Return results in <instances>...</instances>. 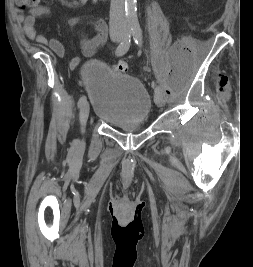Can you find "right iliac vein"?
Instances as JSON below:
<instances>
[{"label":"right iliac vein","mask_w":253,"mask_h":267,"mask_svg":"<svg viewBox=\"0 0 253 267\" xmlns=\"http://www.w3.org/2000/svg\"><path fill=\"white\" fill-rule=\"evenodd\" d=\"M122 38L121 37H116V38H113V41L114 42H119L121 41ZM89 103L88 102H85L81 109H80V113H79V120H80V124H81V131L82 133H84L85 131V125H86V121L88 119V116H89Z\"/></svg>","instance_id":"1"}]
</instances>
